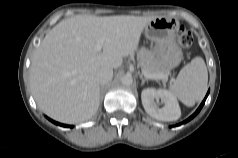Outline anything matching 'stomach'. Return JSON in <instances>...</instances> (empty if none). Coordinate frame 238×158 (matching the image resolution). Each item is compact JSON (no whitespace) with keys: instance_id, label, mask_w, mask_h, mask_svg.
Returning a JSON list of instances; mask_svg holds the SVG:
<instances>
[{"instance_id":"0dacf381","label":"stomach","mask_w":238,"mask_h":158,"mask_svg":"<svg viewBox=\"0 0 238 158\" xmlns=\"http://www.w3.org/2000/svg\"><path fill=\"white\" fill-rule=\"evenodd\" d=\"M178 24L169 18H155L144 28L145 36L155 43L153 54L168 71L177 67L183 52L176 41Z\"/></svg>"}]
</instances>
